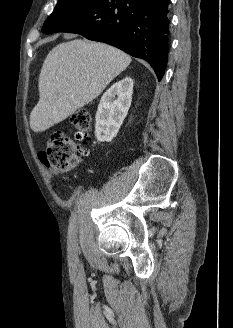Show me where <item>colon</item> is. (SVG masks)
<instances>
[{
    "instance_id": "5ec220e1",
    "label": "colon",
    "mask_w": 233,
    "mask_h": 328,
    "mask_svg": "<svg viewBox=\"0 0 233 328\" xmlns=\"http://www.w3.org/2000/svg\"><path fill=\"white\" fill-rule=\"evenodd\" d=\"M70 123L77 142L63 131L55 132L48 140L46 148L40 152L41 162L56 172H65L79 165L88 154L91 140V114L86 109L76 111Z\"/></svg>"
}]
</instances>
